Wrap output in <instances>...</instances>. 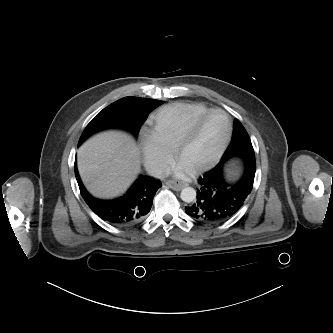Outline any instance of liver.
I'll return each mask as SVG.
<instances>
[{"label":"liver","mask_w":333,"mask_h":333,"mask_svg":"<svg viewBox=\"0 0 333 333\" xmlns=\"http://www.w3.org/2000/svg\"><path fill=\"white\" fill-rule=\"evenodd\" d=\"M77 166L91 194L111 198L124 192L140 170L139 149L125 133L104 132L78 149Z\"/></svg>","instance_id":"6515ba94"}]
</instances>
